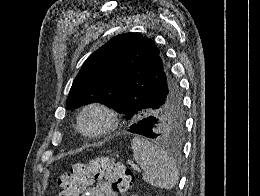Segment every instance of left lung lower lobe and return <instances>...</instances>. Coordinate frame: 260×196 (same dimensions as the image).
<instances>
[{
    "instance_id": "1",
    "label": "left lung lower lobe",
    "mask_w": 260,
    "mask_h": 196,
    "mask_svg": "<svg viewBox=\"0 0 260 196\" xmlns=\"http://www.w3.org/2000/svg\"><path fill=\"white\" fill-rule=\"evenodd\" d=\"M129 132L155 138V121L151 118L142 119L130 126Z\"/></svg>"
}]
</instances>
